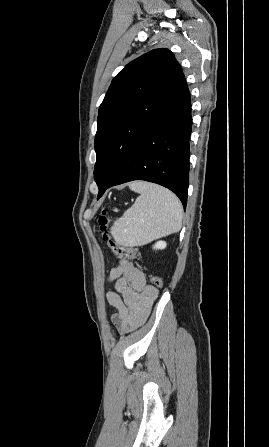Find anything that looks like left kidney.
<instances>
[{"label":"left kidney","mask_w":269,"mask_h":447,"mask_svg":"<svg viewBox=\"0 0 269 447\" xmlns=\"http://www.w3.org/2000/svg\"><path fill=\"white\" fill-rule=\"evenodd\" d=\"M167 243L166 241H156V243H154L153 247L154 249H164V247H166Z\"/></svg>","instance_id":"left-kidney-1"}]
</instances>
